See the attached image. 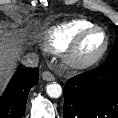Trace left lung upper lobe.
Here are the masks:
<instances>
[{
    "mask_svg": "<svg viewBox=\"0 0 118 118\" xmlns=\"http://www.w3.org/2000/svg\"><path fill=\"white\" fill-rule=\"evenodd\" d=\"M115 32L117 33V37L114 43L112 50L106 58V61H112L118 59V26H115Z\"/></svg>",
    "mask_w": 118,
    "mask_h": 118,
    "instance_id": "1",
    "label": "left lung upper lobe"
}]
</instances>
